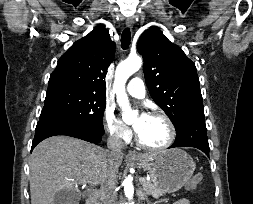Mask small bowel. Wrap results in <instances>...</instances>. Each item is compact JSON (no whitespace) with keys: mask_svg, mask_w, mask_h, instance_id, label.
<instances>
[{"mask_svg":"<svg viewBox=\"0 0 253 204\" xmlns=\"http://www.w3.org/2000/svg\"><path fill=\"white\" fill-rule=\"evenodd\" d=\"M175 204H191L187 199H180Z\"/></svg>","mask_w":253,"mask_h":204,"instance_id":"obj_1","label":"small bowel"}]
</instances>
